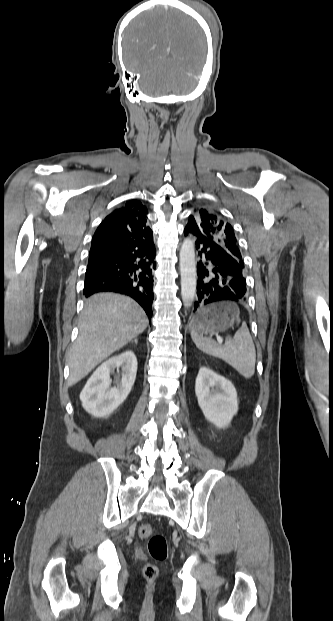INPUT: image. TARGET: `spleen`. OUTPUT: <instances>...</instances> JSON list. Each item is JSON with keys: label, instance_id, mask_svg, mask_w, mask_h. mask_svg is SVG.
Here are the masks:
<instances>
[{"label": "spleen", "instance_id": "obj_1", "mask_svg": "<svg viewBox=\"0 0 333 621\" xmlns=\"http://www.w3.org/2000/svg\"><path fill=\"white\" fill-rule=\"evenodd\" d=\"M193 323L194 320L191 323V338L199 350L223 360L244 378H251L254 375L256 350L246 324H242L233 338L227 336L225 344L220 345L211 338L199 335Z\"/></svg>", "mask_w": 333, "mask_h": 621}]
</instances>
